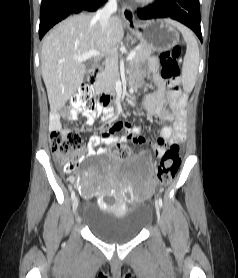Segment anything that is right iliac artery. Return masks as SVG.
Segmentation results:
<instances>
[{
  "mask_svg": "<svg viewBox=\"0 0 238 278\" xmlns=\"http://www.w3.org/2000/svg\"><path fill=\"white\" fill-rule=\"evenodd\" d=\"M74 198H75V192L74 190H71V199L74 200Z\"/></svg>",
  "mask_w": 238,
  "mask_h": 278,
  "instance_id": "1",
  "label": "right iliac artery"
}]
</instances>
